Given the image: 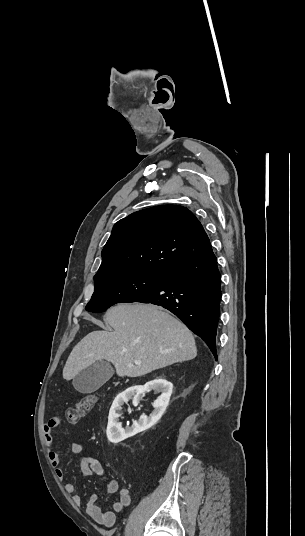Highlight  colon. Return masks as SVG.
Listing matches in <instances>:
<instances>
[{
    "instance_id": "obj_1",
    "label": "colon",
    "mask_w": 305,
    "mask_h": 536,
    "mask_svg": "<svg viewBox=\"0 0 305 536\" xmlns=\"http://www.w3.org/2000/svg\"><path fill=\"white\" fill-rule=\"evenodd\" d=\"M98 400L99 397L96 394H87L78 399L73 405L68 406L66 421L76 423L82 416L91 411Z\"/></svg>"
}]
</instances>
